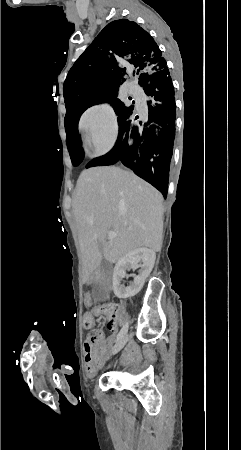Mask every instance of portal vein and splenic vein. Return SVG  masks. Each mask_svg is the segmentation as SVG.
<instances>
[{"label": "portal vein and splenic vein", "instance_id": "18ae733b", "mask_svg": "<svg viewBox=\"0 0 241 450\" xmlns=\"http://www.w3.org/2000/svg\"><path fill=\"white\" fill-rule=\"evenodd\" d=\"M116 236H117L116 232H109L108 234L109 240H111V238H116Z\"/></svg>", "mask_w": 241, "mask_h": 450}]
</instances>
